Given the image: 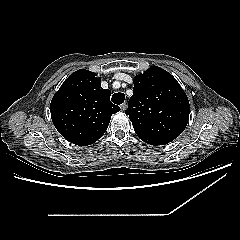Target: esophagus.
I'll return each instance as SVG.
<instances>
[{"instance_id":"esophagus-1","label":"esophagus","mask_w":240,"mask_h":240,"mask_svg":"<svg viewBox=\"0 0 240 240\" xmlns=\"http://www.w3.org/2000/svg\"><path fill=\"white\" fill-rule=\"evenodd\" d=\"M120 108H121V111H125L127 108V104L126 103L121 104Z\"/></svg>"}]
</instances>
